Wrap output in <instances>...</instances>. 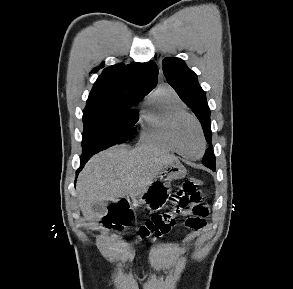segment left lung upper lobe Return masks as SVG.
<instances>
[{"label": "left lung upper lobe", "mask_w": 293, "mask_h": 289, "mask_svg": "<svg viewBox=\"0 0 293 289\" xmlns=\"http://www.w3.org/2000/svg\"><path fill=\"white\" fill-rule=\"evenodd\" d=\"M162 69L167 82L199 119L206 141L211 143L210 109L205 92L198 83L197 75L179 58H165ZM202 163L215 171V155L212 146L206 150Z\"/></svg>", "instance_id": "1"}]
</instances>
